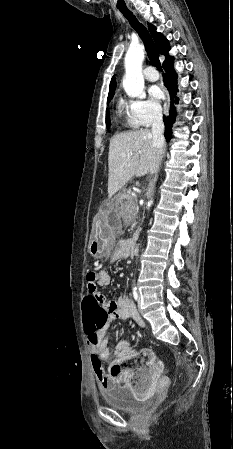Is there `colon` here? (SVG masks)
Returning a JSON list of instances; mask_svg holds the SVG:
<instances>
[{"instance_id": "5ec220e1", "label": "colon", "mask_w": 233, "mask_h": 449, "mask_svg": "<svg viewBox=\"0 0 233 449\" xmlns=\"http://www.w3.org/2000/svg\"><path fill=\"white\" fill-rule=\"evenodd\" d=\"M93 297L89 292H84V297L79 302L83 326L84 328H105V319L108 316L105 312L106 308L101 307L100 302H94Z\"/></svg>"}]
</instances>
